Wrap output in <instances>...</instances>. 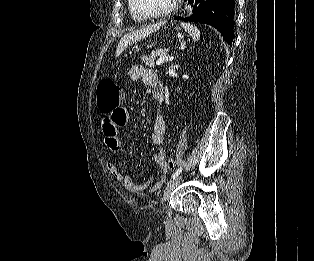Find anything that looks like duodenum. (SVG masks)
Listing matches in <instances>:
<instances>
[{"instance_id":"obj_1","label":"duodenum","mask_w":314,"mask_h":261,"mask_svg":"<svg viewBox=\"0 0 314 261\" xmlns=\"http://www.w3.org/2000/svg\"><path fill=\"white\" fill-rule=\"evenodd\" d=\"M163 97H164V94H163L162 91H159V92L156 93V98L158 100H163Z\"/></svg>"}]
</instances>
